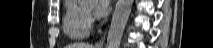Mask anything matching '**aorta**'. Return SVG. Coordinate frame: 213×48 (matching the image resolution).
Masks as SVG:
<instances>
[{
  "label": "aorta",
  "mask_w": 213,
  "mask_h": 48,
  "mask_svg": "<svg viewBox=\"0 0 213 48\" xmlns=\"http://www.w3.org/2000/svg\"><path fill=\"white\" fill-rule=\"evenodd\" d=\"M132 5L133 0H117L107 35L106 48H119Z\"/></svg>",
  "instance_id": "762f6f07"
}]
</instances>
